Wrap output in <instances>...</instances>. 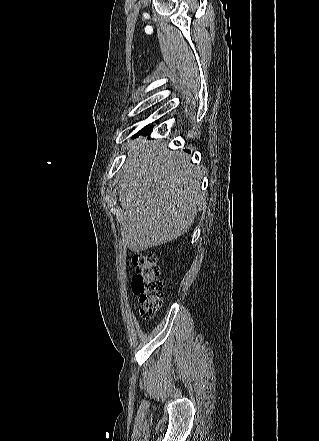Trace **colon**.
I'll return each instance as SVG.
<instances>
[{
	"instance_id": "obj_1",
	"label": "colon",
	"mask_w": 319,
	"mask_h": 441,
	"mask_svg": "<svg viewBox=\"0 0 319 441\" xmlns=\"http://www.w3.org/2000/svg\"><path fill=\"white\" fill-rule=\"evenodd\" d=\"M136 273L132 279V290L140 303V314L152 319L163 302V286L159 279L157 259L153 253H136L132 257Z\"/></svg>"
}]
</instances>
